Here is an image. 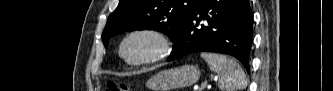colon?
Here are the masks:
<instances>
[{
    "label": "colon",
    "instance_id": "1",
    "mask_svg": "<svg viewBox=\"0 0 333 91\" xmlns=\"http://www.w3.org/2000/svg\"><path fill=\"white\" fill-rule=\"evenodd\" d=\"M106 91H129L130 88L126 84H118L116 82H108L106 85Z\"/></svg>",
    "mask_w": 333,
    "mask_h": 91
}]
</instances>
